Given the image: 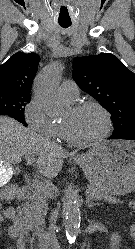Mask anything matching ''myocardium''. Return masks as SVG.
Returning <instances> with one entry per match:
<instances>
[{
	"label": "myocardium",
	"instance_id": "1",
	"mask_svg": "<svg viewBox=\"0 0 135 249\" xmlns=\"http://www.w3.org/2000/svg\"><path fill=\"white\" fill-rule=\"evenodd\" d=\"M87 108H95L102 113V115L104 116V119H105V125H106L105 130L99 137H97L93 140L79 141L71 135L68 127L63 125L66 139L68 140V142H70L71 144H73L77 147H85L86 148V147H92V146H95V145L101 143L103 140H105L109 136L111 129H112V120H111V115H110L109 111L98 102L83 101V102H80V103H77L76 105H74L73 110L76 112H79V111H82V110L87 109Z\"/></svg>",
	"mask_w": 135,
	"mask_h": 249
}]
</instances>
